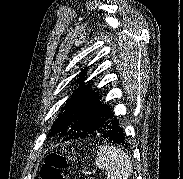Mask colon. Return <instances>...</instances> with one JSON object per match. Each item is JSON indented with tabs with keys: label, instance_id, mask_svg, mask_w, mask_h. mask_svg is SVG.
Listing matches in <instances>:
<instances>
[{
	"label": "colon",
	"instance_id": "colon-1",
	"mask_svg": "<svg viewBox=\"0 0 183 179\" xmlns=\"http://www.w3.org/2000/svg\"><path fill=\"white\" fill-rule=\"evenodd\" d=\"M68 157L51 153L47 156L41 168V179H68Z\"/></svg>",
	"mask_w": 183,
	"mask_h": 179
}]
</instances>
